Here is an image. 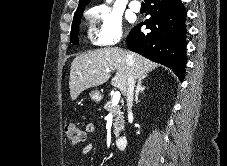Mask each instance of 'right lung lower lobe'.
<instances>
[{"label": "right lung lower lobe", "mask_w": 227, "mask_h": 166, "mask_svg": "<svg viewBox=\"0 0 227 166\" xmlns=\"http://www.w3.org/2000/svg\"><path fill=\"white\" fill-rule=\"evenodd\" d=\"M151 17L136 26L127 37L131 51L172 69L184 78L186 60V10L181 0H145ZM146 25L150 32L141 33Z\"/></svg>", "instance_id": "98d812e1"}]
</instances>
